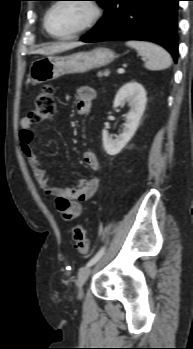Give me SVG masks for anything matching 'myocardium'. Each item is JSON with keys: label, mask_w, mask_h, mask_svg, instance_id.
<instances>
[{"label": "myocardium", "mask_w": 193, "mask_h": 349, "mask_svg": "<svg viewBox=\"0 0 193 349\" xmlns=\"http://www.w3.org/2000/svg\"><path fill=\"white\" fill-rule=\"evenodd\" d=\"M67 1H69V0H57L53 4H51V6L45 12L44 20H43L44 28H45L46 32L54 39L69 40V39H74L76 37H79L82 34H84L85 32H87L88 30H90L91 28H93L98 23V21L101 19L102 15H103V9H102L101 5L96 0H79L78 2H85L91 8V10H92L91 19L84 26H82L78 30L74 31L73 33H70L67 35L54 34L49 28V24H48L49 15L56 6H58L61 3H65Z\"/></svg>", "instance_id": "obj_1"}]
</instances>
